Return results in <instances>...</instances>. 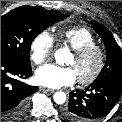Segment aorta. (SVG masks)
<instances>
[{
  "label": "aorta",
  "mask_w": 122,
  "mask_h": 122,
  "mask_svg": "<svg viewBox=\"0 0 122 122\" xmlns=\"http://www.w3.org/2000/svg\"><path fill=\"white\" fill-rule=\"evenodd\" d=\"M68 52L66 48L58 49L55 52V60L57 63H61L63 56ZM54 102L57 104H63L66 102V94L62 91H58L54 94Z\"/></svg>",
  "instance_id": "aorta-1"
}]
</instances>
